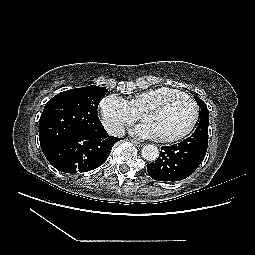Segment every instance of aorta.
<instances>
[{
  "mask_svg": "<svg viewBox=\"0 0 255 255\" xmlns=\"http://www.w3.org/2000/svg\"><path fill=\"white\" fill-rule=\"evenodd\" d=\"M142 157L147 161H155L159 156V150L155 145H145L141 150Z\"/></svg>",
  "mask_w": 255,
  "mask_h": 255,
  "instance_id": "aorta-1",
  "label": "aorta"
}]
</instances>
